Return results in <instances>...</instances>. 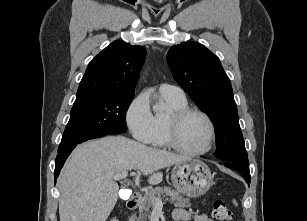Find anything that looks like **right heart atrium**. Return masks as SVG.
Instances as JSON below:
<instances>
[{
  "label": "right heart atrium",
  "instance_id": "d8ad5b80",
  "mask_svg": "<svg viewBox=\"0 0 307 221\" xmlns=\"http://www.w3.org/2000/svg\"><path fill=\"white\" fill-rule=\"evenodd\" d=\"M125 120L132 136L142 142L150 143L153 132V115L148 98L144 93L137 95L128 105Z\"/></svg>",
  "mask_w": 307,
  "mask_h": 221
}]
</instances>
